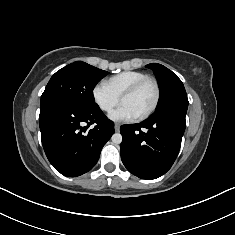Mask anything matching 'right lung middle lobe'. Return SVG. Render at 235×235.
<instances>
[{
    "label": "right lung middle lobe",
    "instance_id": "obj_1",
    "mask_svg": "<svg viewBox=\"0 0 235 235\" xmlns=\"http://www.w3.org/2000/svg\"><path fill=\"white\" fill-rule=\"evenodd\" d=\"M107 74V71L82 61L71 63L51 77L41 96L40 107L51 104L75 109L95 107L93 89Z\"/></svg>",
    "mask_w": 235,
    "mask_h": 235
}]
</instances>
